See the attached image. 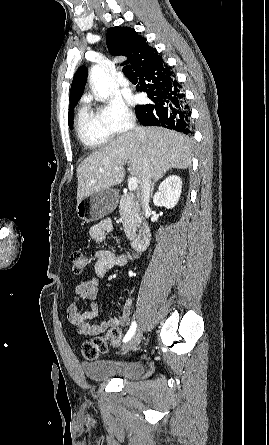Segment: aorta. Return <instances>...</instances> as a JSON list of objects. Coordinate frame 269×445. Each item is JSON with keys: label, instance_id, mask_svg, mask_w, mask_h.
Instances as JSON below:
<instances>
[{"label": "aorta", "instance_id": "762f6f07", "mask_svg": "<svg viewBox=\"0 0 269 445\" xmlns=\"http://www.w3.org/2000/svg\"><path fill=\"white\" fill-rule=\"evenodd\" d=\"M90 82L92 83L95 92L101 100H105L109 95V85L107 76L99 65H94L90 71Z\"/></svg>", "mask_w": 269, "mask_h": 445}]
</instances>
